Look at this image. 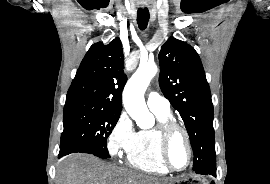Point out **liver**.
Returning a JSON list of instances; mask_svg holds the SVG:
<instances>
[{
    "label": "liver",
    "instance_id": "obj_1",
    "mask_svg": "<svg viewBox=\"0 0 270 184\" xmlns=\"http://www.w3.org/2000/svg\"><path fill=\"white\" fill-rule=\"evenodd\" d=\"M55 181V184H168L165 180L128 171L82 153L60 161Z\"/></svg>",
    "mask_w": 270,
    "mask_h": 184
}]
</instances>
